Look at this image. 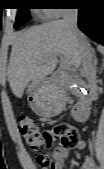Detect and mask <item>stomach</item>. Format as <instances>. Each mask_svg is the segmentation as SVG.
I'll return each instance as SVG.
<instances>
[{
    "instance_id": "1",
    "label": "stomach",
    "mask_w": 104,
    "mask_h": 169,
    "mask_svg": "<svg viewBox=\"0 0 104 169\" xmlns=\"http://www.w3.org/2000/svg\"><path fill=\"white\" fill-rule=\"evenodd\" d=\"M28 101L31 109L43 117L56 116L66 103L64 91L50 81L38 83L29 95Z\"/></svg>"
}]
</instances>
